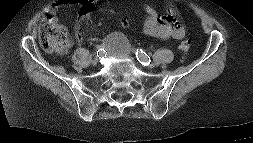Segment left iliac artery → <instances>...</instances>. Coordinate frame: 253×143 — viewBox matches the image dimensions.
<instances>
[{
	"instance_id": "44dca946",
	"label": "left iliac artery",
	"mask_w": 253,
	"mask_h": 143,
	"mask_svg": "<svg viewBox=\"0 0 253 143\" xmlns=\"http://www.w3.org/2000/svg\"><path fill=\"white\" fill-rule=\"evenodd\" d=\"M135 54H136L137 60L141 64H143L145 66L150 64V62H151L150 57L142 49L137 50Z\"/></svg>"
}]
</instances>
